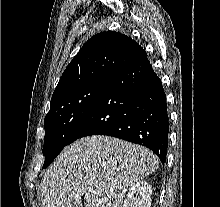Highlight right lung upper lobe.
<instances>
[{
  "mask_svg": "<svg viewBox=\"0 0 220 207\" xmlns=\"http://www.w3.org/2000/svg\"><path fill=\"white\" fill-rule=\"evenodd\" d=\"M146 56L145 50L124 34L113 31L98 33L68 64L52 99L81 86L109 79Z\"/></svg>",
  "mask_w": 220,
  "mask_h": 207,
  "instance_id": "right-lung-upper-lobe-1",
  "label": "right lung upper lobe"
}]
</instances>
